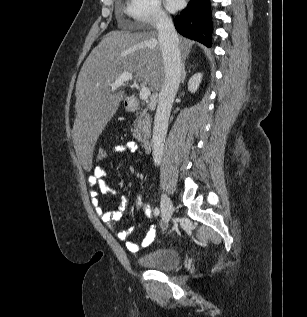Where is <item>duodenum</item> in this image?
Returning a JSON list of instances; mask_svg holds the SVG:
<instances>
[{
    "instance_id": "obj_1",
    "label": "duodenum",
    "mask_w": 307,
    "mask_h": 317,
    "mask_svg": "<svg viewBox=\"0 0 307 317\" xmlns=\"http://www.w3.org/2000/svg\"><path fill=\"white\" fill-rule=\"evenodd\" d=\"M127 107L131 112H138L141 108L140 102L138 99L134 97H130L127 100ZM152 133L149 129H143L142 131V136H141V141H142V146L145 151H149L152 146Z\"/></svg>"
}]
</instances>
